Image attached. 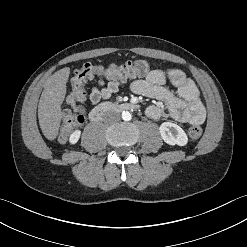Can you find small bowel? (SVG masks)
<instances>
[{"instance_id": "small-bowel-1", "label": "small bowel", "mask_w": 247, "mask_h": 247, "mask_svg": "<svg viewBox=\"0 0 247 247\" xmlns=\"http://www.w3.org/2000/svg\"><path fill=\"white\" fill-rule=\"evenodd\" d=\"M166 82L176 88V95L165 87ZM124 84V80L111 79L106 82L101 76L97 86L91 90V103L98 104L102 100L108 99ZM130 88L136 94L163 102L169 116L176 121L190 125H199L205 121L206 111L200 100L198 88L193 80L180 69L152 70L144 78L133 80L130 83ZM65 105L76 110L72 95L66 96ZM163 112V108L158 104H150L145 110L146 116L152 120H158Z\"/></svg>"}]
</instances>
